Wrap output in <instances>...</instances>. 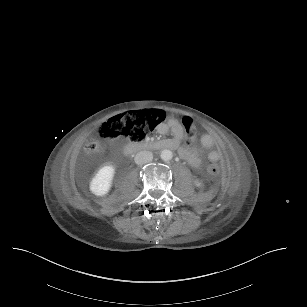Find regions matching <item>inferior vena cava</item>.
Segmentation results:
<instances>
[{"label": "inferior vena cava", "mask_w": 307, "mask_h": 307, "mask_svg": "<svg viewBox=\"0 0 307 307\" xmlns=\"http://www.w3.org/2000/svg\"><path fill=\"white\" fill-rule=\"evenodd\" d=\"M152 159H153V154L150 151H140L134 157V161L138 165L149 163L152 161Z\"/></svg>", "instance_id": "602c4592"}]
</instances>
